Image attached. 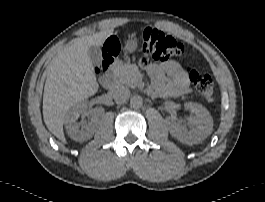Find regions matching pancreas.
Masks as SVG:
<instances>
[{
    "label": "pancreas",
    "mask_w": 265,
    "mask_h": 202,
    "mask_svg": "<svg viewBox=\"0 0 265 202\" xmlns=\"http://www.w3.org/2000/svg\"><path fill=\"white\" fill-rule=\"evenodd\" d=\"M113 74L120 84L135 88L138 83L139 69L135 64L116 61L113 65Z\"/></svg>",
    "instance_id": "cf45deb5"
}]
</instances>
